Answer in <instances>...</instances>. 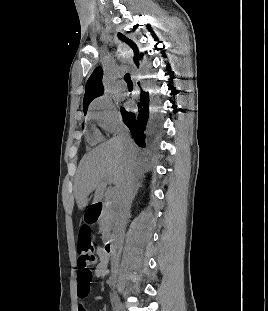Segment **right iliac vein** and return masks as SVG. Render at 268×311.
I'll use <instances>...</instances> for the list:
<instances>
[{
	"label": "right iliac vein",
	"instance_id": "obj_1",
	"mask_svg": "<svg viewBox=\"0 0 268 311\" xmlns=\"http://www.w3.org/2000/svg\"><path fill=\"white\" fill-rule=\"evenodd\" d=\"M113 302H114V306H115V311H121L120 302H119V299L116 295H114V297H113Z\"/></svg>",
	"mask_w": 268,
	"mask_h": 311
}]
</instances>
